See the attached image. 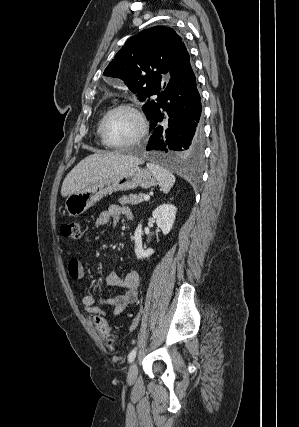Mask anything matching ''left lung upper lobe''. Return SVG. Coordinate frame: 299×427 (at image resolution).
Returning a JSON list of instances; mask_svg holds the SVG:
<instances>
[{
  "label": "left lung upper lobe",
  "mask_w": 299,
  "mask_h": 427,
  "mask_svg": "<svg viewBox=\"0 0 299 427\" xmlns=\"http://www.w3.org/2000/svg\"><path fill=\"white\" fill-rule=\"evenodd\" d=\"M182 38L172 28L155 26L130 38L115 58L109 63L103 75L120 78L128 88L144 101L142 109L147 119L151 115L159 95L162 77L169 76V70Z\"/></svg>",
  "instance_id": "1"
}]
</instances>
